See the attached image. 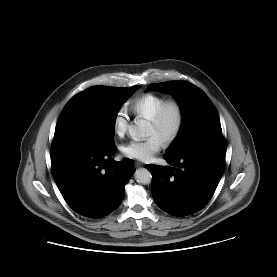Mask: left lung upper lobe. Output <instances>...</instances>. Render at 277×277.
Here are the masks:
<instances>
[{"label":"left lung upper lobe","instance_id":"5c2ea615","mask_svg":"<svg viewBox=\"0 0 277 277\" xmlns=\"http://www.w3.org/2000/svg\"><path fill=\"white\" fill-rule=\"evenodd\" d=\"M150 89L172 93L181 106L182 126L177 138L167 150L166 157L176 158L203 139L222 136L214 105L196 86L183 81H170L150 84L147 91Z\"/></svg>","mask_w":277,"mask_h":277}]
</instances>
